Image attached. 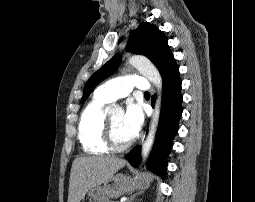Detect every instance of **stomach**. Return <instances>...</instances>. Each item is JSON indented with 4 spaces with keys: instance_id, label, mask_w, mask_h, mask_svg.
Segmentation results:
<instances>
[{
    "instance_id": "0dacf381",
    "label": "stomach",
    "mask_w": 255,
    "mask_h": 202,
    "mask_svg": "<svg viewBox=\"0 0 255 202\" xmlns=\"http://www.w3.org/2000/svg\"><path fill=\"white\" fill-rule=\"evenodd\" d=\"M151 176L143 175L140 180L135 183L130 177L126 176L124 181H116V186H95L90 189L88 195L90 202H107L109 198H117L126 192L133 190L135 187L146 189L151 182ZM108 181V180H106Z\"/></svg>"
}]
</instances>
